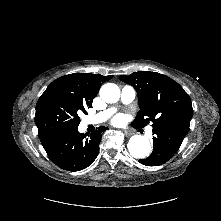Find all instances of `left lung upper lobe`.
I'll use <instances>...</instances> for the list:
<instances>
[{
	"label": "left lung upper lobe",
	"instance_id": "left-lung-upper-lobe-1",
	"mask_svg": "<svg viewBox=\"0 0 221 221\" xmlns=\"http://www.w3.org/2000/svg\"><path fill=\"white\" fill-rule=\"evenodd\" d=\"M120 80L133 86L138 95L140 110L134 127L150 121L153 128H168L187 134L193 114L189 95L174 80L157 72L138 71Z\"/></svg>",
	"mask_w": 221,
	"mask_h": 221
}]
</instances>
